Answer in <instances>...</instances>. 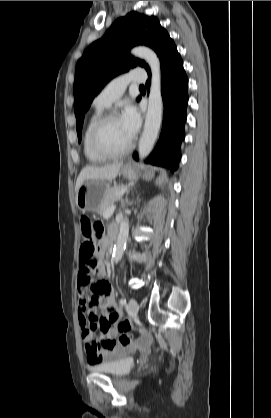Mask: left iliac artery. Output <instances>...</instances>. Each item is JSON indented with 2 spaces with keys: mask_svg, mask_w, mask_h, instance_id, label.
<instances>
[{
  "mask_svg": "<svg viewBox=\"0 0 271 418\" xmlns=\"http://www.w3.org/2000/svg\"><path fill=\"white\" fill-rule=\"evenodd\" d=\"M120 304L121 305H126V299L125 298H121L120 299Z\"/></svg>",
  "mask_w": 271,
  "mask_h": 418,
  "instance_id": "left-iliac-artery-1",
  "label": "left iliac artery"
}]
</instances>
